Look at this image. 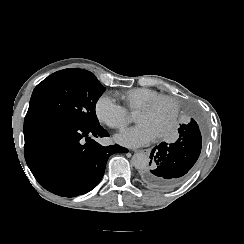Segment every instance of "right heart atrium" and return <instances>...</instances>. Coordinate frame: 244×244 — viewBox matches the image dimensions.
I'll list each match as a JSON object with an SVG mask.
<instances>
[{
    "label": "right heart atrium",
    "mask_w": 244,
    "mask_h": 244,
    "mask_svg": "<svg viewBox=\"0 0 244 244\" xmlns=\"http://www.w3.org/2000/svg\"><path fill=\"white\" fill-rule=\"evenodd\" d=\"M94 111L101 123L118 131H123L132 121L127 109L116 103L110 94H102L96 100Z\"/></svg>",
    "instance_id": "obj_1"
}]
</instances>
